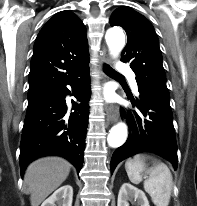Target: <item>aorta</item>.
I'll return each mask as SVG.
<instances>
[{"mask_svg": "<svg viewBox=\"0 0 197 206\" xmlns=\"http://www.w3.org/2000/svg\"><path fill=\"white\" fill-rule=\"evenodd\" d=\"M110 53L117 57L125 45V35L119 28L109 29L105 36ZM127 138V126L125 123H118L113 126L108 134L107 142L110 147L117 148L124 144Z\"/></svg>", "mask_w": 197, "mask_h": 206, "instance_id": "obj_1", "label": "aorta"}]
</instances>
